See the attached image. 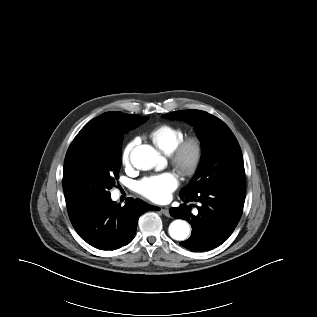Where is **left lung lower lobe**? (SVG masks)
Wrapping results in <instances>:
<instances>
[{
    "mask_svg": "<svg viewBox=\"0 0 317 317\" xmlns=\"http://www.w3.org/2000/svg\"><path fill=\"white\" fill-rule=\"evenodd\" d=\"M246 196V185L217 184L198 194L180 196L184 204L171 208L174 218L187 220L192 226V234L180 245L191 251H206L220 246L237 226ZM188 202H198V214L191 213Z\"/></svg>",
    "mask_w": 317,
    "mask_h": 317,
    "instance_id": "0a47b994",
    "label": "left lung lower lobe"
}]
</instances>
